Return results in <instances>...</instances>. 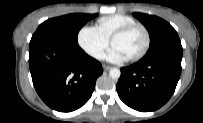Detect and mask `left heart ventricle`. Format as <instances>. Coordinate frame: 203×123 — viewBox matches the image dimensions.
Wrapping results in <instances>:
<instances>
[{
    "label": "left heart ventricle",
    "instance_id": "b2bd125f",
    "mask_svg": "<svg viewBox=\"0 0 203 123\" xmlns=\"http://www.w3.org/2000/svg\"><path fill=\"white\" fill-rule=\"evenodd\" d=\"M145 44V35L141 29H134L113 42V47L119 49L127 58L139 53Z\"/></svg>",
    "mask_w": 203,
    "mask_h": 123
}]
</instances>
